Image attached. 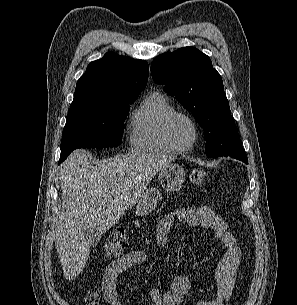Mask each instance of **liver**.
<instances>
[{
    "instance_id": "1",
    "label": "liver",
    "mask_w": 297,
    "mask_h": 305,
    "mask_svg": "<svg viewBox=\"0 0 297 305\" xmlns=\"http://www.w3.org/2000/svg\"><path fill=\"white\" fill-rule=\"evenodd\" d=\"M90 159L87 151L77 150L60 167L62 209L54 241L66 280L78 276L89 258L86 229L96 227L100 233L110 229L175 157L136 152L95 166Z\"/></svg>"
}]
</instances>
